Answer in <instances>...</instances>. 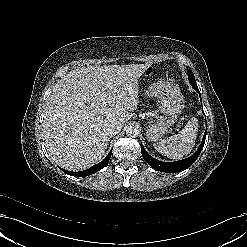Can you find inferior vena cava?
<instances>
[{"mask_svg":"<svg viewBox=\"0 0 247 247\" xmlns=\"http://www.w3.org/2000/svg\"><path fill=\"white\" fill-rule=\"evenodd\" d=\"M121 129H122V125L120 123L115 122V123L108 124L106 126L105 133L107 136L113 137L118 132H120Z\"/></svg>","mask_w":247,"mask_h":247,"instance_id":"inferior-vena-cava-1","label":"inferior vena cava"}]
</instances>
